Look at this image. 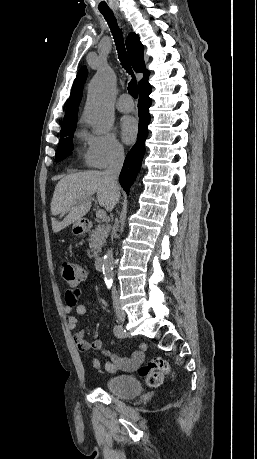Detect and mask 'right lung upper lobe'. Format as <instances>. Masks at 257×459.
<instances>
[{"label": "right lung upper lobe", "instance_id": "right-lung-upper-lobe-1", "mask_svg": "<svg viewBox=\"0 0 257 459\" xmlns=\"http://www.w3.org/2000/svg\"><path fill=\"white\" fill-rule=\"evenodd\" d=\"M126 47L129 60L136 72L143 73V78L139 82V87L148 82L149 71L145 69L144 63V47L140 42V38L135 33H129L126 39ZM87 77L86 67H82L74 81L72 91L67 102L66 114L61 125V132L76 126L78 106L82 97V90Z\"/></svg>", "mask_w": 257, "mask_h": 459}]
</instances>
